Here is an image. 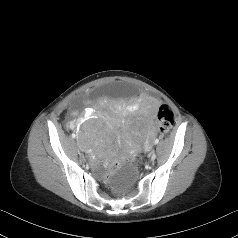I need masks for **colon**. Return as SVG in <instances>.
Listing matches in <instances>:
<instances>
[{
  "mask_svg": "<svg viewBox=\"0 0 238 238\" xmlns=\"http://www.w3.org/2000/svg\"><path fill=\"white\" fill-rule=\"evenodd\" d=\"M156 119L159 125V129L162 133H166L171 130L174 123V115L172 111L166 106L161 105L156 113ZM120 167V163L117 161L111 162L108 167L107 171L103 173L101 177V182L103 184H108L110 179L114 175V172Z\"/></svg>",
  "mask_w": 238,
  "mask_h": 238,
  "instance_id": "obj_1",
  "label": "colon"
}]
</instances>
